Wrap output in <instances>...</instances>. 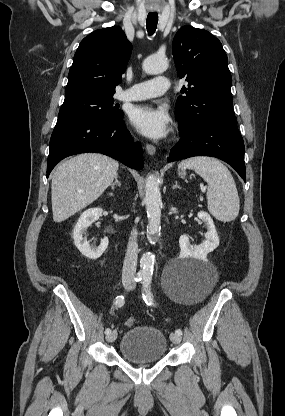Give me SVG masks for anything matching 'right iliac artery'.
<instances>
[{
    "instance_id": "right-iliac-artery-1",
    "label": "right iliac artery",
    "mask_w": 285,
    "mask_h": 416,
    "mask_svg": "<svg viewBox=\"0 0 285 416\" xmlns=\"http://www.w3.org/2000/svg\"><path fill=\"white\" fill-rule=\"evenodd\" d=\"M143 276L144 275L142 273H137L136 277L134 278V281L135 282L141 281L143 279ZM124 303H125V300H124V296L123 295L117 296L115 298V300H114V304H115L116 307H122L124 305ZM110 333H111V329L110 328H106L105 329V334L108 335Z\"/></svg>"
}]
</instances>
